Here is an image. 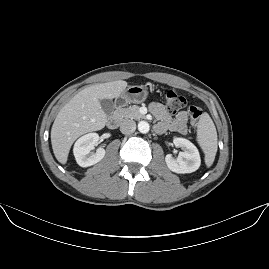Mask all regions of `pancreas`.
I'll list each match as a JSON object with an SVG mask.
<instances>
[{
	"mask_svg": "<svg viewBox=\"0 0 269 269\" xmlns=\"http://www.w3.org/2000/svg\"><path fill=\"white\" fill-rule=\"evenodd\" d=\"M115 115L120 121L126 119H141L143 115L140 113L139 106L133 105L128 108H120L115 111Z\"/></svg>",
	"mask_w": 269,
	"mask_h": 269,
	"instance_id": "pancreas-1",
	"label": "pancreas"
}]
</instances>
